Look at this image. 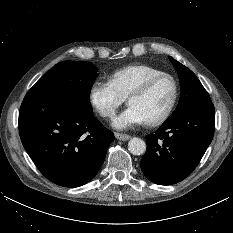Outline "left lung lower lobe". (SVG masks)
I'll return each instance as SVG.
<instances>
[{
  "label": "left lung lower lobe",
  "mask_w": 233,
  "mask_h": 233,
  "mask_svg": "<svg viewBox=\"0 0 233 233\" xmlns=\"http://www.w3.org/2000/svg\"><path fill=\"white\" fill-rule=\"evenodd\" d=\"M214 129L212 103L166 120L154 134L146 136L147 151L141 160L144 175L159 185L182 181L200 162L212 141Z\"/></svg>",
  "instance_id": "0a47b994"
}]
</instances>
